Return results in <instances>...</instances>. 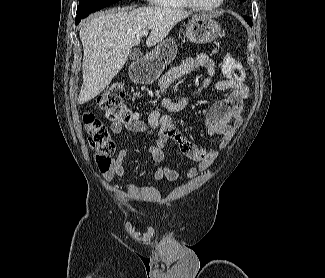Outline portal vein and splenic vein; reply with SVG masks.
Segmentation results:
<instances>
[{"label":"portal vein and splenic vein","instance_id":"portal-vein-and-splenic-vein-1","mask_svg":"<svg viewBox=\"0 0 325 278\" xmlns=\"http://www.w3.org/2000/svg\"><path fill=\"white\" fill-rule=\"evenodd\" d=\"M149 29H150V28H147V29L143 30L142 34H143L144 36H147V35H148V32H149Z\"/></svg>","mask_w":325,"mask_h":278}]
</instances>
